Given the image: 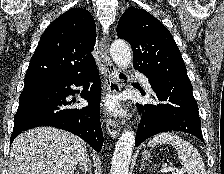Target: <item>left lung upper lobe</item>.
Listing matches in <instances>:
<instances>
[{"label": "left lung upper lobe", "mask_w": 224, "mask_h": 174, "mask_svg": "<svg viewBox=\"0 0 224 174\" xmlns=\"http://www.w3.org/2000/svg\"><path fill=\"white\" fill-rule=\"evenodd\" d=\"M117 35L130 43L133 66L148 79L191 83L171 33L146 10L128 8L119 19Z\"/></svg>", "instance_id": "1"}]
</instances>
